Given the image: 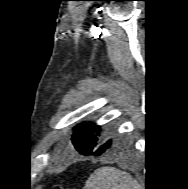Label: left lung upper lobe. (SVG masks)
Returning a JSON list of instances; mask_svg holds the SVG:
<instances>
[{"label": "left lung upper lobe", "mask_w": 188, "mask_h": 189, "mask_svg": "<svg viewBox=\"0 0 188 189\" xmlns=\"http://www.w3.org/2000/svg\"><path fill=\"white\" fill-rule=\"evenodd\" d=\"M72 142L75 148L83 155L90 154L102 141L98 134L99 127L92 123H82L73 128Z\"/></svg>", "instance_id": "left-lung-upper-lobe-1"}]
</instances>
